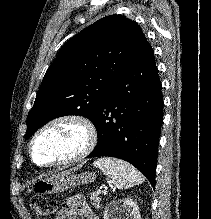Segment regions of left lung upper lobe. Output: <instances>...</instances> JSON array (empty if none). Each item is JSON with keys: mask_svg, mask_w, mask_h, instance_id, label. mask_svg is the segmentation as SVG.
I'll list each match as a JSON object with an SVG mask.
<instances>
[{"mask_svg": "<svg viewBox=\"0 0 211 219\" xmlns=\"http://www.w3.org/2000/svg\"><path fill=\"white\" fill-rule=\"evenodd\" d=\"M146 37L135 21L106 16L70 38L48 68L27 117L26 139L50 120L80 115L91 121Z\"/></svg>", "mask_w": 211, "mask_h": 219, "instance_id": "5c2ea615", "label": "left lung upper lobe"}]
</instances>
